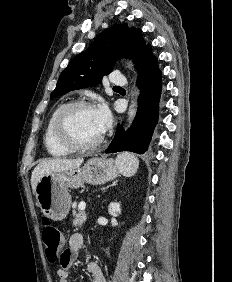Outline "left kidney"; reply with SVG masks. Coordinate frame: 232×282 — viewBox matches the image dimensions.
Segmentation results:
<instances>
[{
  "instance_id": "left-kidney-1",
  "label": "left kidney",
  "mask_w": 232,
  "mask_h": 282,
  "mask_svg": "<svg viewBox=\"0 0 232 282\" xmlns=\"http://www.w3.org/2000/svg\"><path fill=\"white\" fill-rule=\"evenodd\" d=\"M109 214L118 216L121 213L120 203L112 202L108 207Z\"/></svg>"
}]
</instances>
